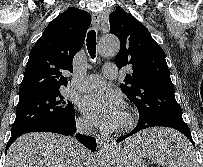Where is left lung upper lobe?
<instances>
[{
    "mask_svg": "<svg viewBox=\"0 0 203 167\" xmlns=\"http://www.w3.org/2000/svg\"><path fill=\"white\" fill-rule=\"evenodd\" d=\"M109 22L110 32L121 42L115 64L119 69L124 66L132 69L131 74H126L121 90L137 107L138 124L183 120L164 50L148 29L123 9L112 12Z\"/></svg>",
    "mask_w": 203,
    "mask_h": 167,
    "instance_id": "left-lung-upper-lobe-1",
    "label": "left lung upper lobe"
}]
</instances>
